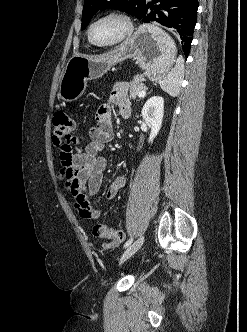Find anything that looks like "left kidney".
Segmentation results:
<instances>
[{"mask_svg": "<svg viewBox=\"0 0 247 332\" xmlns=\"http://www.w3.org/2000/svg\"><path fill=\"white\" fill-rule=\"evenodd\" d=\"M141 114L143 119L149 123L151 128L148 142H153L162 125L164 115V99L161 96L151 97L144 104Z\"/></svg>", "mask_w": 247, "mask_h": 332, "instance_id": "obj_1", "label": "left kidney"}]
</instances>
